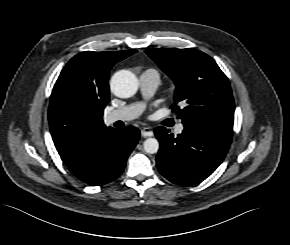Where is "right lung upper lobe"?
I'll return each instance as SVG.
<instances>
[{"instance_id": "obj_1", "label": "right lung upper lobe", "mask_w": 290, "mask_h": 245, "mask_svg": "<svg viewBox=\"0 0 290 245\" xmlns=\"http://www.w3.org/2000/svg\"><path fill=\"white\" fill-rule=\"evenodd\" d=\"M136 52L86 51L75 55L63 68L52 90L48 119L64 163L80 157L108 130L102 116L109 102L110 69Z\"/></svg>"}]
</instances>
